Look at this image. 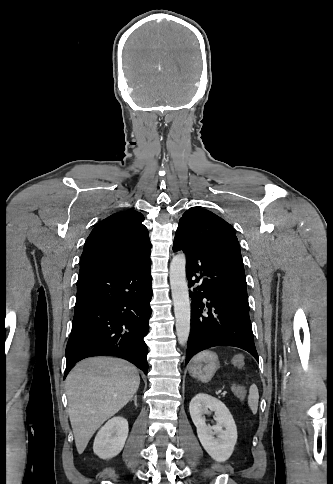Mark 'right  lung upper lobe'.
Listing matches in <instances>:
<instances>
[{"instance_id": "cb5924a9", "label": "right lung upper lobe", "mask_w": 333, "mask_h": 484, "mask_svg": "<svg viewBox=\"0 0 333 484\" xmlns=\"http://www.w3.org/2000/svg\"><path fill=\"white\" fill-rule=\"evenodd\" d=\"M143 220L141 213L130 209L100 221L84 244L79 271L127 267L149 258L151 244Z\"/></svg>"}]
</instances>
